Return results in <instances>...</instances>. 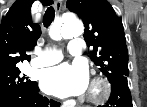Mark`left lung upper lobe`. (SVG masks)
I'll list each match as a JSON object with an SVG mask.
<instances>
[{
	"label": "left lung upper lobe",
	"mask_w": 147,
	"mask_h": 107,
	"mask_svg": "<svg viewBox=\"0 0 147 107\" xmlns=\"http://www.w3.org/2000/svg\"><path fill=\"white\" fill-rule=\"evenodd\" d=\"M67 8L82 18L91 60L109 82L129 76L128 51L122 19L107 0H67Z\"/></svg>",
	"instance_id": "left-lung-upper-lobe-1"
}]
</instances>
